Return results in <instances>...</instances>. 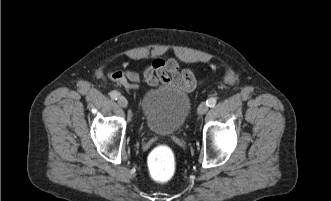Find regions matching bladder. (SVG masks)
Returning a JSON list of instances; mask_svg holds the SVG:
<instances>
[{"mask_svg":"<svg viewBox=\"0 0 331 201\" xmlns=\"http://www.w3.org/2000/svg\"><path fill=\"white\" fill-rule=\"evenodd\" d=\"M192 108L190 93L172 86L148 89L141 98V115L147 129L159 135L175 134Z\"/></svg>","mask_w":331,"mask_h":201,"instance_id":"31cf9c89","label":"bladder"}]
</instances>
